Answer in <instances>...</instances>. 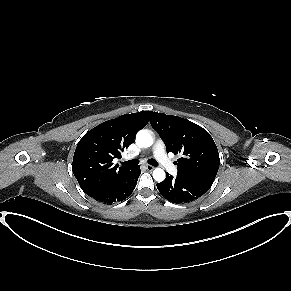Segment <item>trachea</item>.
I'll list each match as a JSON object with an SVG mask.
<instances>
[{"mask_svg":"<svg viewBox=\"0 0 291 291\" xmlns=\"http://www.w3.org/2000/svg\"><path fill=\"white\" fill-rule=\"evenodd\" d=\"M148 163L152 166H158V163L156 160L154 159H149L148 160ZM124 165H127V166H135L137 164H139V160L137 159H132V160H128V161H125L123 162Z\"/></svg>","mask_w":291,"mask_h":291,"instance_id":"1","label":"trachea"}]
</instances>
